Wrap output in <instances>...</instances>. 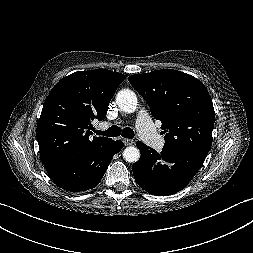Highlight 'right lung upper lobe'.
<instances>
[{"label":"right lung upper lobe","instance_id":"obj_1","mask_svg":"<svg viewBox=\"0 0 253 253\" xmlns=\"http://www.w3.org/2000/svg\"><path fill=\"white\" fill-rule=\"evenodd\" d=\"M124 79L121 73L97 69L75 72L52 88L36 130L44 165L86 153L111 140L91 137V121L106 117L109 102Z\"/></svg>","mask_w":253,"mask_h":253}]
</instances>
